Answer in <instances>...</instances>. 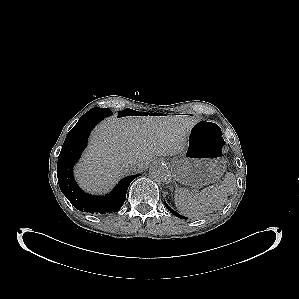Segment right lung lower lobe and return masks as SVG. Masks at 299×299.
I'll return each instance as SVG.
<instances>
[{
  "mask_svg": "<svg viewBox=\"0 0 299 299\" xmlns=\"http://www.w3.org/2000/svg\"><path fill=\"white\" fill-rule=\"evenodd\" d=\"M102 119L103 117L99 116L80 119L70 130L58 157L57 175L62 193L79 211L106 214L117 212L122 207L130 183L139 175L125 177L106 196H91L76 184L73 178V165L85 149L91 130Z\"/></svg>",
  "mask_w": 299,
  "mask_h": 299,
  "instance_id": "obj_1",
  "label": "right lung lower lobe"
}]
</instances>
